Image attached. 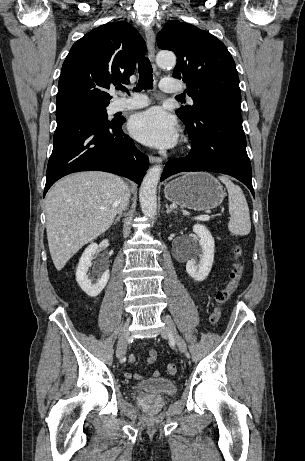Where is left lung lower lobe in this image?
<instances>
[{
    "instance_id": "left-lung-lower-lobe-1",
    "label": "left lung lower lobe",
    "mask_w": 305,
    "mask_h": 461,
    "mask_svg": "<svg viewBox=\"0 0 305 461\" xmlns=\"http://www.w3.org/2000/svg\"><path fill=\"white\" fill-rule=\"evenodd\" d=\"M184 124L192 149L186 157L167 162L161 181L183 171L219 172L240 180L254 196L239 104L211 105Z\"/></svg>"
}]
</instances>
